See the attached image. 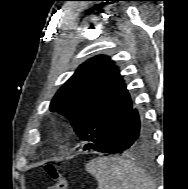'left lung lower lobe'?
<instances>
[{
  "mask_svg": "<svg viewBox=\"0 0 188 189\" xmlns=\"http://www.w3.org/2000/svg\"><path fill=\"white\" fill-rule=\"evenodd\" d=\"M150 131L140 120L138 111L131 109L92 149L103 153H122L145 146Z\"/></svg>",
  "mask_w": 188,
  "mask_h": 189,
  "instance_id": "obj_1",
  "label": "left lung lower lobe"
}]
</instances>
